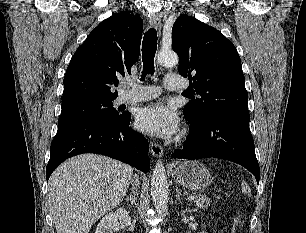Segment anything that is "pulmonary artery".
I'll return each instance as SVG.
<instances>
[{"label":"pulmonary artery","mask_w":306,"mask_h":233,"mask_svg":"<svg viewBox=\"0 0 306 233\" xmlns=\"http://www.w3.org/2000/svg\"><path fill=\"white\" fill-rule=\"evenodd\" d=\"M165 88L169 91H181L184 88V81L178 75H168L165 78ZM160 89L154 85H137L132 82H125L124 89L117 97V104H128L146 101L157 97Z\"/></svg>","instance_id":"1"}]
</instances>
